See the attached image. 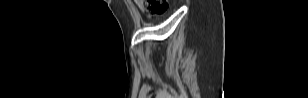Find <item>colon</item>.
<instances>
[{
  "instance_id": "1",
  "label": "colon",
  "mask_w": 308,
  "mask_h": 98,
  "mask_svg": "<svg viewBox=\"0 0 308 98\" xmlns=\"http://www.w3.org/2000/svg\"><path fill=\"white\" fill-rule=\"evenodd\" d=\"M136 2L140 8L154 16L164 14L168 8L166 0H137Z\"/></svg>"
}]
</instances>
